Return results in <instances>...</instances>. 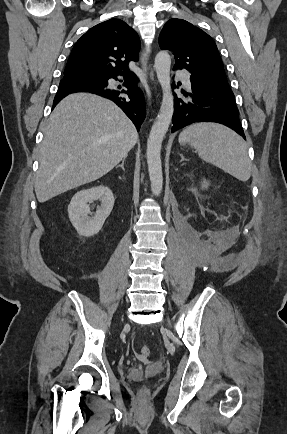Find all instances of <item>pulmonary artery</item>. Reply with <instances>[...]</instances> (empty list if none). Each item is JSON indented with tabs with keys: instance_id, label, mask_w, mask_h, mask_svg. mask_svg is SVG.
I'll list each match as a JSON object with an SVG mask.
<instances>
[{
	"instance_id": "1",
	"label": "pulmonary artery",
	"mask_w": 287,
	"mask_h": 434,
	"mask_svg": "<svg viewBox=\"0 0 287 434\" xmlns=\"http://www.w3.org/2000/svg\"><path fill=\"white\" fill-rule=\"evenodd\" d=\"M176 75L181 77L183 84L187 89L191 88V81H190L189 75L187 73H184L182 71H177Z\"/></svg>"
}]
</instances>
